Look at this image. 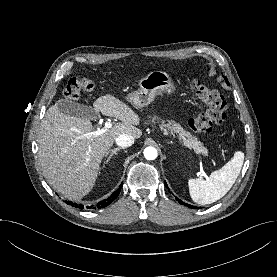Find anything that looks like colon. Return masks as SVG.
I'll return each instance as SVG.
<instances>
[{
	"instance_id": "5ec220e1",
	"label": "colon",
	"mask_w": 277,
	"mask_h": 277,
	"mask_svg": "<svg viewBox=\"0 0 277 277\" xmlns=\"http://www.w3.org/2000/svg\"><path fill=\"white\" fill-rule=\"evenodd\" d=\"M94 82L85 77L70 78L64 88V96L76 101L81 91L93 92ZM191 88L196 97L205 105V109L189 120L190 128L197 133H210L214 125L222 123L227 115V102L214 88L200 80H193Z\"/></svg>"
}]
</instances>
